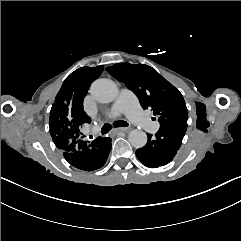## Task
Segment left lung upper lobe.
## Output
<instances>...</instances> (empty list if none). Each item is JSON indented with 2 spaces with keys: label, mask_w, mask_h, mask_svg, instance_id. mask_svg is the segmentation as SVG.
Here are the masks:
<instances>
[{
  "label": "left lung upper lobe",
  "mask_w": 241,
  "mask_h": 241,
  "mask_svg": "<svg viewBox=\"0 0 241 241\" xmlns=\"http://www.w3.org/2000/svg\"><path fill=\"white\" fill-rule=\"evenodd\" d=\"M106 70L136 94L144 109L151 108L159 116L160 126L187 123L188 110L182 94L154 68L119 63Z\"/></svg>",
  "instance_id": "5c2ea615"
}]
</instances>
